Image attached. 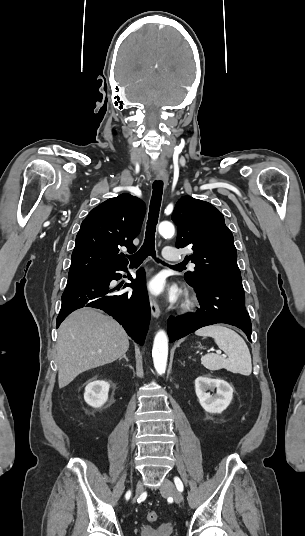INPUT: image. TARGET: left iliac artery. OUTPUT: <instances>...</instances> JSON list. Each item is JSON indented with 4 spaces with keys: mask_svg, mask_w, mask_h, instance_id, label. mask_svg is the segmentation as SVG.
<instances>
[{
    "mask_svg": "<svg viewBox=\"0 0 305 536\" xmlns=\"http://www.w3.org/2000/svg\"><path fill=\"white\" fill-rule=\"evenodd\" d=\"M174 482H175V485H176L177 489L180 492H182L183 491V484H182L181 480L178 477H175Z\"/></svg>",
    "mask_w": 305,
    "mask_h": 536,
    "instance_id": "1",
    "label": "left iliac artery"
}]
</instances>
